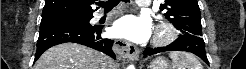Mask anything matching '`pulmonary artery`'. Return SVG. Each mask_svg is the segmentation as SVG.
<instances>
[{"label": "pulmonary artery", "mask_w": 246, "mask_h": 69, "mask_svg": "<svg viewBox=\"0 0 246 69\" xmlns=\"http://www.w3.org/2000/svg\"><path fill=\"white\" fill-rule=\"evenodd\" d=\"M138 7H146L149 5V2L147 1H136L135 2ZM102 14H98V17H100Z\"/></svg>", "instance_id": "obj_1"}]
</instances>
